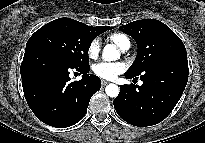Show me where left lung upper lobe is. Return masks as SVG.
<instances>
[{"label": "left lung upper lobe", "instance_id": "obj_1", "mask_svg": "<svg viewBox=\"0 0 205 143\" xmlns=\"http://www.w3.org/2000/svg\"><path fill=\"white\" fill-rule=\"evenodd\" d=\"M137 43L138 54L126 73L139 76L158 61L185 54L186 48L180 38L164 23L154 19H143L120 26Z\"/></svg>", "mask_w": 205, "mask_h": 143}]
</instances>
